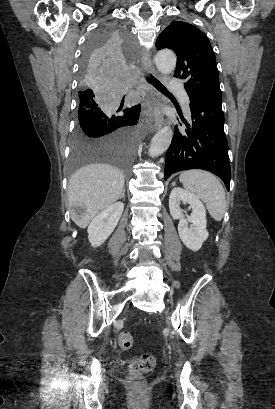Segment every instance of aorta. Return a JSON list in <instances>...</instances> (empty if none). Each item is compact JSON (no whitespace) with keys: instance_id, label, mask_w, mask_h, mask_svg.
Listing matches in <instances>:
<instances>
[{"instance_id":"aorta-1","label":"aorta","mask_w":275,"mask_h":409,"mask_svg":"<svg viewBox=\"0 0 275 409\" xmlns=\"http://www.w3.org/2000/svg\"><path fill=\"white\" fill-rule=\"evenodd\" d=\"M154 62L162 74H170L176 66V54L172 50H159L154 56ZM173 138V130L170 126H163L154 134L149 148L150 156H159L167 150Z\"/></svg>"}]
</instances>
